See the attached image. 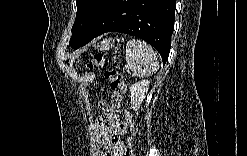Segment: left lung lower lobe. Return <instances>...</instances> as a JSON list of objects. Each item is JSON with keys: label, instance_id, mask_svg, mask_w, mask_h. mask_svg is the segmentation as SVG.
I'll list each match as a JSON object with an SVG mask.
<instances>
[{"label": "left lung lower lobe", "instance_id": "1", "mask_svg": "<svg viewBox=\"0 0 247 156\" xmlns=\"http://www.w3.org/2000/svg\"><path fill=\"white\" fill-rule=\"evenodd\" d=\"M176 0H110L91 27L85 44L110 31L139 37L168 59Z\"/></svg>", "mask_w": 247, "mask_h": 156}]
</instances>
